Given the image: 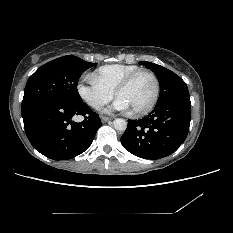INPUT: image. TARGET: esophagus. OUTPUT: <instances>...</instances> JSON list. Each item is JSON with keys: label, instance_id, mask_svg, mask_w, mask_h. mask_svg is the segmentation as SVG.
Segmentation results:
<instances>
[{"label": "esophagus", "instance_id": "obj_1", "mask_svg": "<svg viewBox=\"0 0 233 233\" xmlns=\"http://www.w3.org/2000/svg\"><path fill=\"white\" fill-rule=\"evenodd\" d=\"M110 120H111V118H109V117H105V116H102V117H101V121H102L103 123L108 122V121H110Z\"/></svg>", "mask_w": 233, "mask_h": 233}]
</instances>
